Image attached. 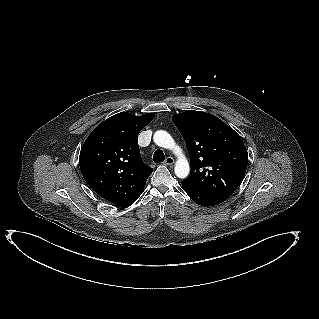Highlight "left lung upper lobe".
<instances>
[{
    "mask_svg": "<svg viewBox=\"0 0 319 319\" xmlns=\"http://www.w3.org/2000/svg\"><path fill=\"white\" fill-rule=\"evenodd\" d=\"M172 120L190 155L191 173L183 183L226 200L241 183L248 153L240 136L222 120L201 111L176 114Z\"/></svg>",
    "mask_w": 319,
    "mask_h": 319,
    "instance_id": "1",
    "label": "left lung upper lobe"
}]
</instances>
